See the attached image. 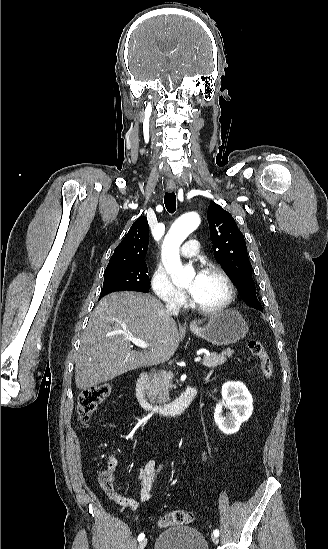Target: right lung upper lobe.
I'll list each match as a JSON object with an SVG mask.
<instances>
[{
  "mask_svg": "<svg viewBox=\"0 0 328 549\" xmlns=\"http://www.w3.org/2000/svg\"><path fill=\"white\" fill-rule=\"evenodd\" d=\"M148 229L147 218H138L116 247L105 271L144 261L148 248Z\"/></svg>",
  "mask_w": 328,
  "mask_h": 549,
  "instance_id": "cb5924a9",
  "label": "right lung upper lobe"
}]
</instances>
